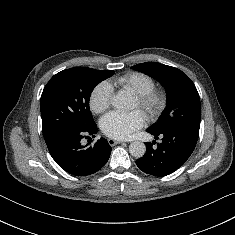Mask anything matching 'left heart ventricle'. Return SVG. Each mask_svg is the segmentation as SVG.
Instances as JSON below:
<instances>
[{
  "label": "left heart ventricle",
  "mask_w": 235,
  "mask_h": 235,
  "mask_svg": "<svg viewBox=\"0 0 235 235\" xmlns=\"http://www.w3.org/2000/svg\"><path fill=\"white\" fill-rule=\"evenodd\" d=\"M133 107H134V108L140 107V106H139V102L137 101V99H135V102H134Z\"/></svg>",
  "instance_id": "b2bd125f"
}]
</instances>
